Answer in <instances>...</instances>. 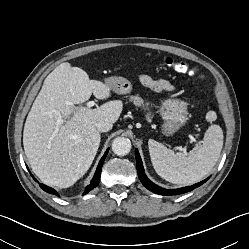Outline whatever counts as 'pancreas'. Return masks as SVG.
I'll return each mask as SVG.
<instances>
[{
  "label": "pancreas",
  "instance_id": "pancreas-1",
  "mask_svg": "<svg viewBox=\"0 0 249 249\" xmlns=\"http://www.w3.org/2000/svg\"><path fill=\"white\" fill-rule=\"evenodd\" d=\"M130 101H133L134 105H136V106H139V107L143 106L144 107V100L141 97H139L138 95L137 96H131ZM150 116H151V113H148L147 117L149 118Z\"/></svg>",
  "mask_w": 249,
  "mask_h": 249
}]
</instances>
